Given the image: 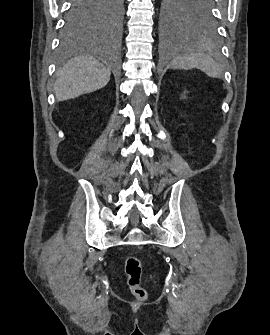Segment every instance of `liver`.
Wrapping results in <instances>:
<instances>
[{
	"instance_id": "obj_1",
	"label": "liver",
	"mask_w": 270,
	"mask_h": 335,
	"mask_svg": "<svg viewBox=\"0 0 270 335\" xmlns=\"http://www.w3.org/2000/svg\"><path fill=\"white\" fill-rule=\"evenodd\" d=\"M110 76L109 68L99 64L93 56L73 58L57 72L54 84L56 100L64 102L82 94L96 92L108 84Z\"/></svg>"
}]
</instances>
